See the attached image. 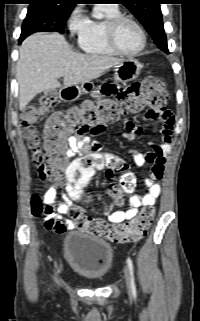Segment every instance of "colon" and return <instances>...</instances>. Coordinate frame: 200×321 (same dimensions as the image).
I'll return each mask as SVG.
<instances>
[{"instance_id":"obj_1","label":"colon","mask_w":200,"mask_h":321,"mask_svg":"<svg viewBox=\"0 0 200 321\" xmlns=\"http://www.w3.org/2000/svg\"><path fill=\"white\" fill-rule=\"evenodd\" d=\"M141 90L122 98H105L97 102H86L65 112L53 113L46 122L44 131V150L41 148L39 132L34 126L36 121L56 104V95L46 93L35 106L25 110L22 115L23 137L32 152L33 162L42 180L67 183L65 198H83V189L94 173L103 168H112L119 174L116 183L109 188L108 194L117 204H122L124 195L136 185L135 175L129 170L128 163L120 157L108 156L99 152L91 153L68 163L67 137L72 133L97 135L106 124L116 122L127 113L144 109L161 110L168 95L163 81L149 76L141 82ZM34 215L52 212L51 206L43 204L39 195L31 199ZM69 215L76 227L97 236H103L115 243H129L141 239L149 229L154 218V208L145 207L132 221L111 225L104 220L84 214L80 207L74 206Z\"/></svg>"}]
</instances>
